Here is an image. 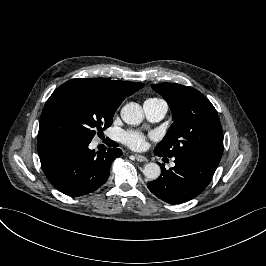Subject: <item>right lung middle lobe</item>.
I'll return each mask as SVG.
<instances>
[{"label":"right lung middle lobe","instance_id":"dd1d6c3e","mask_svg":"<svg viewBox=\"0 0 266 266\" xmlns=\"http://www.w3.org/2000/svg\"><path fill=\"white\" fill-rule=\"evenodd\" d=\"M124 100L107 83L97 79H72L47 100L41 118L50 139L90 142L96 132L112 124Z\"/></svg>","mask_w":266,"mask_h":266}]
</instances>
